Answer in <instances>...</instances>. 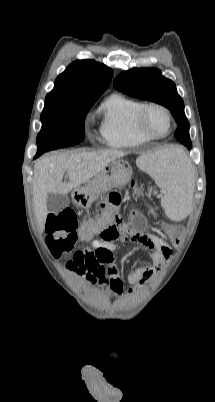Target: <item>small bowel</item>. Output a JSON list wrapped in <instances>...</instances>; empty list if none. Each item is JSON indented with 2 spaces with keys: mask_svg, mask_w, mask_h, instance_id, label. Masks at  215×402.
<instances>
[{
  "mask_svg": "<svg viewBox=\"0 0 215 402\" xmlns=\"http://www.w3.org/2000/svg\"><path fill=\"white\" fill-rule=\"evenodd\" d=\"M119 239L139 246L152 262L150 266L138 265L130 269V293L148 282L158 271L160 265L171 256V249L162 238L153 234L135 233L118 222L101 231L99 237L92 241L91 247L80 251L81 259L79 261H69L67 263L68 270L77 276L85 275L86 280L91 283L98 282L107 286L116 296L121 295L124 283L114 256L118 249L117 240Z\"/></svg>",
  "mask_w": 215,
  "mask_h": 402,
  "instance_id": "c3829d8e",
  "label": "small bowel"
}]
</instances>
